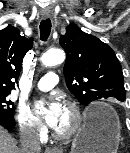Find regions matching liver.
I'll use <instances>...</instances> for the list:
<instances>
[{
    "label": "liver",
    "instance_id": "obj_1",
    "mask_svg": "<svg viewBox=\"0 0 130 153\" xmlns=\"http://www.w3.org/2000/svg\"><path fill=\"white\" fill-rule=\"evenodd\" d=\"M0 153H21L17 141L2 126H0Z\"/></svg>",
    "mask_w": 130,
    "mask_h": 153
}]
</instances>
